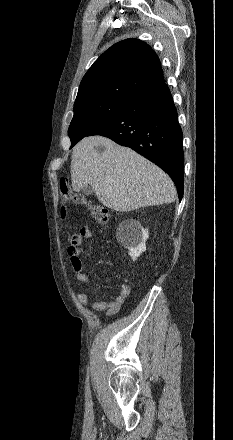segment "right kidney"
I'll use <instances>...</instances> for the list:
<instances>
[{"label": "right kidney", "mask_w": 233, "mask_h": 440, "mask_svg": "<svg viewBox=\"0 0 233 440\" xmlns=\"http://www.w3.org/2000/svg\"><path fill=\"white\" fill-rule=\"evenodd\" d=\"M117 240L128 249L129 255L135 261L146 250V240L149 237L148 229H144L135 220L123 221L117 229Z\"/></svg>", "instance_id": "ca27d5eb"}]
</instances>
